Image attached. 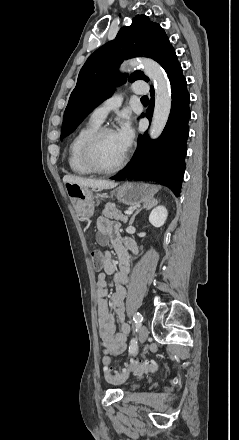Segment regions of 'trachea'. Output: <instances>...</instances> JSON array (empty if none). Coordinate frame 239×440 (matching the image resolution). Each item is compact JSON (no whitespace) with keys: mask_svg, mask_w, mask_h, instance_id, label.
<instances>
[{"mask_svg":"<svg viewBox=\"0 0 239 440\" xmlns=\"http://www.w3.org/2000/svg\"><path fill=\"white\" fill-rule=\"evenodd\" d=\"M141 100L144 102V101H147L148 100V97L146 96V95H144V97H141Z\"/></svg>","mask_w":239,"mask_h":440,"instance_id":"obj_1","label":"trachea"}]
</instances>
